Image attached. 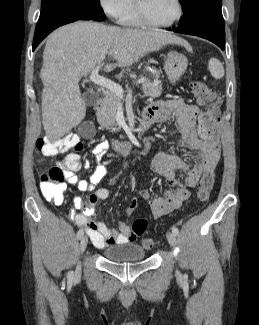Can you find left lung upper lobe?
<instances>
[{
  "label": "left lung upper lobe",
  "mask_w": 259,
  "mask_h": 325,
  "mask_svg": "<svg viewBox=\"0 0 259 325\" xmlns=\"http://www.w3.org/2000/svg\"><path fill=\"white\" fill-rule=\"evenodd\" d=\"M183 8V20L179 24H185L197 13L204 10L221 11L222 0H179Z\"/></svg>",
  "instance_id": "obj_1"
}]
</instances>
